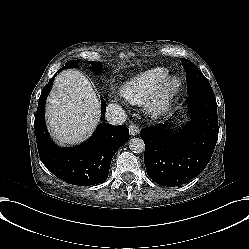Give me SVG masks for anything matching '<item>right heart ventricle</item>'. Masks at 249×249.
<instances>
[{
	"instance_id": "right-heart-ventricle-1",
	"label": "right heart ventricle",
	"mask_w": 249,
	"mask_h": 249,
	"mask_svg": "<svg viewBox=\"0 0 249 249\" xmlns=\"http://www.w3.org/2000/svg\"><path fill=\"white\" fill-rule=\"evenodd\" d=\"M168 70L164 67H153L134 75L121 88V94L135 104L147 102L161 87L167 78Z\"/></svg>"
}]
</instances>
